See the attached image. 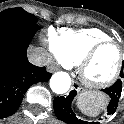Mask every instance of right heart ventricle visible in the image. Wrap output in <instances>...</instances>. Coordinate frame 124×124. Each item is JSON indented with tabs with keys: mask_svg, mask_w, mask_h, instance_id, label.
<instances>
[{
	"mask_svg": "<svg viewBox=\"0 0 124 124\" xmlns=\"http://www.w3.org/2000/svg\"><path fill=\"white\" fill-rule=\"evenodd\" d=\"M110 39L111 37L99 28H63L58 33V46L68 65H78L94 45Z\"/></svg>",
	"mask_w": 124,
	"mask_h": 124,
	"instance_id": "right-heart-ventricle-1",
	"label": "right heart ventricle"
}]
</instances>
